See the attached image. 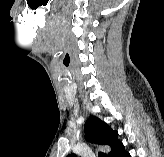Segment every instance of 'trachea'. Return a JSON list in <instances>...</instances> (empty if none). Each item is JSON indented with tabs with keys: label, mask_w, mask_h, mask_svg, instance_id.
I'll use <instances>...</instances> for the list:
<instances>
[{
	"label": "trachea",
	"mask_w": 164,
	"mask_h": 157,
	"mask_svg": "<svg viewBox=\"0 0 164 157\" xmlns=\"http://www.w3.org/2000/svg\"><path fill=\"white\" fill-rule=\"evenodd\" d=\"M98 157H107V156H106L105 153H101V152H99V153H98Z\"/></svg>",
	"instance_id": "obj_1"
}]
</instances>
